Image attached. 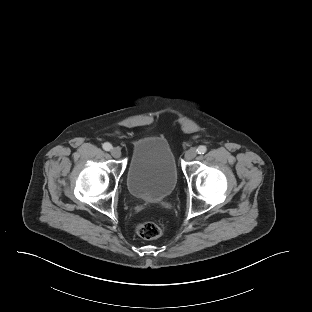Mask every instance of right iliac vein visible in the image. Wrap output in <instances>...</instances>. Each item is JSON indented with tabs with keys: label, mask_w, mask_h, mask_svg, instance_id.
I'll return each instance as SVG.
<instances>
[{
	"label": "right iliac vein",
	"mask_w": 312,
	"mask_h": 312,
	"mask_svg": "<svg viewBox=\"0 0 312 312\" xmlns=\"http://www.w3.org/2000/svg\"><path fill=\"white\" fill-rule=\"evenodd\" d=\"M110 152L114 158H120L121 157V150L117 147L112 148Z\"/></svg>",
	"instance_id": "right-iliac-vein-1"
}]
</instances>
